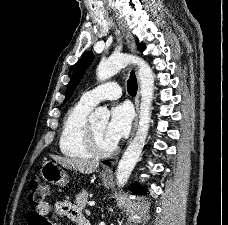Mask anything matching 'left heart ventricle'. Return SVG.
<instances>
[{"instance_id": "obj_1", "label": "left heart ventricle", "mask_w": 228, "mask_h": 225, "mask_svg": "<svg viewBox=\"0 0 228 225\" xmlns=\"http://www.w3.org/2000/svg\"><path fill=\"white\" fill-rule=\"evenodd\" d=\"M92 125L103 144L109 145L113 143L106 136L107 121L96 122Z\"/></svg>"}]
</instances>
